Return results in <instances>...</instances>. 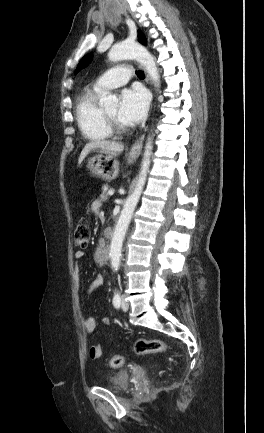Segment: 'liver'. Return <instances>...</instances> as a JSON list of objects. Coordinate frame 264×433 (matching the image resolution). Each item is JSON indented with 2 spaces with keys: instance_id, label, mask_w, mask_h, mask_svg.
<instances>
[{
  "instance_id": "6515ba94",
  "label": "liver",
  "mask_w": 264,
  "mask_h": 433,
  "mask_svg": "<svg viewBox=\"0 0 264 433\" xmlns=\"http://www.w3.org/2000/svg\"><path fill=\"white\" fill-rule=\"evenodd\" d=\"M94 149H100V151L105 154L117 155L123 152L124 145L114 141L106 140L91 141L83 148L78 159V164L80 165L85 157Z\"/></svg>"
}]
</instances>
